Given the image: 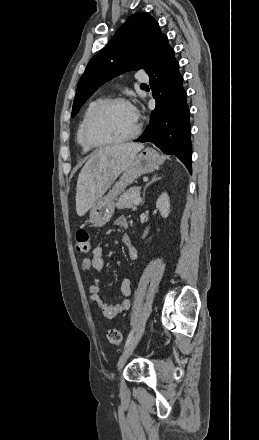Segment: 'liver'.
I'll list each match as a JSON object with an SVG mask.
<instances>
[{
    "instance_id": "obj_1",
    "label": "liver",
    "mask_w": 259,
    "mask_h": 440,
    "mask_svg": "<svg viewBox=\"0 0 259 440\" xmlns=\"http://www.w3.org/2000/svg\"><path fill=\"white\" fill-rule=\"evenodd\" d=\"M141 143H124L100 149L86 162L77 180L76 212L83 216L130 165Z\"/></svg>"
}]
</instances>
